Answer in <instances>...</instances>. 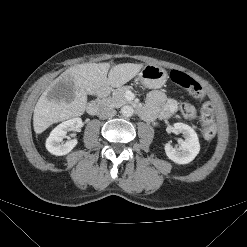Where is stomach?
<instances>
[{"label": "stomach", "mask_w": 247, "mask_h": 247, "mask_svg": "<svg viewBox=\"0 0 247 247\" xmlns=\"http://www.w3.org/2000/svg\"><path fill=\"white\" fill-rule=\"evenodd\" d=\"M137 80L148 88H160L167 80V72L156 65H146L138 73Z\"/></svg>", "instance_id": "1"}]
</instances>
